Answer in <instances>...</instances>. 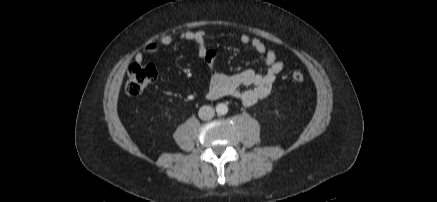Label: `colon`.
Returning a JSON list of instances; mask_svg holds the SVG:
<instances>
[{"mask_svg":"<svg viewBox=\"0 0 437 202\" xmlns=\"http://www.w3.org/2000/svg\"><path fill=\"white\" fill-rule=\"evenodd\" d=\"M157 70L154 65L132 64L127 72L125 89L131 96L141 94L145 89L152 85L157 78ZM294 82H302L304 74L300 71H294L291 75Z\"/></svg>","mask_w":437,"mask_h":202,"instance_id":"obj_1","label":"colon"}]
</instances>
